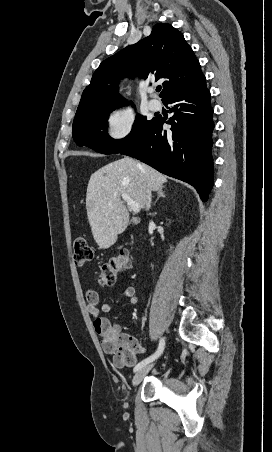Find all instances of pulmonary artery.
Masks as SVG:
<instances>
[{
  "instance_id": "obj_1",
  "label": "pulmonary artery",
  "mask_w": 272,
  "mask_h": 452,
  "mask_svg": "<svg viewBox=\"0 0 272 452\" xmlns=\"http://www.w3.org/2000/svg\"><path fill=\"white\" fill-rule=\"evenodd\" d=\"M149 107L153 111H158L161 109L162 104L158 99H151L149 102Z\"/></svg>"
}]
</instances>
